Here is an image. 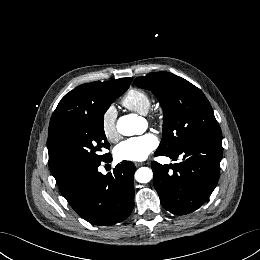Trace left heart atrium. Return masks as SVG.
Returning <instances> with one entry per match:
<instances>
[{
	"label": "left heart atrium",
	"mask_w": 260,
	"mask_h": 260,
	"mask_svg": "<svg viewBox=\"0 0 260 260\" xmlns=\"http://www.w3.org/2000/svg\"><path fill=\"white\" fill-rule=\"evenodd\" d=\"M157 146V137L147 133L121 142L116 146L114 154L119 160L138 162L145 160Z\"/></svg>",
	"instance_id": "obj_1"
}]
</instances>
